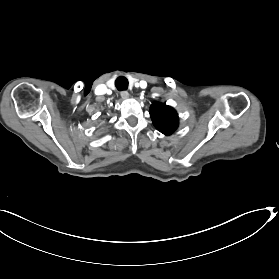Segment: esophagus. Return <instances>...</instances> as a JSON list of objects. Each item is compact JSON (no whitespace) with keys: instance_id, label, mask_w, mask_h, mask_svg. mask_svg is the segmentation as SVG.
Wrapping results in <instances>:
<instances>
[{"instance_id":"obj_1","label":"esophagus","mask_w":279,"mask_h":279,"mask_svg":"<svg viewBox=\"0 0 279 279\" xmlns=\"http://www.w3.org/2000/svg\"><path fill=\"white\" fill-rule=\"evenodd\" d=\"M121 97H122L123 99H126V98L129 97V93H128L127 91H121Z\"/></svg>"}]
</instances>
